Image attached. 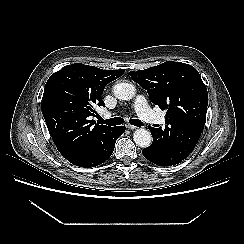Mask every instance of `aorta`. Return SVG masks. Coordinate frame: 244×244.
<instances>
[{
	"label": "aorta",
	"instance_id": "1",
	"mask_svg": "<svg viewBox=\"0 0 244 244\" xmlns=\"http://www.w3.org/2000/svg\"><path fill=\"white\" fill-rule=\"evenodd\" d=\"M113 93L119 100H130L135 96L136 89L130 83H118L113 86ZM133 140L139 147L146 148L152 143V135L147 129L139 128L134 132Z\"/></svg>",
	"mask_w": 244,
	"mask_h": 244
}]
</instances>
